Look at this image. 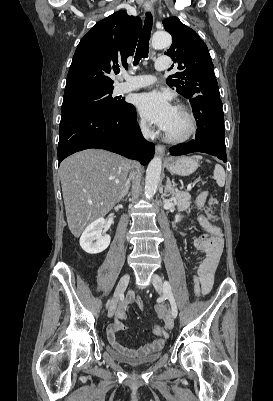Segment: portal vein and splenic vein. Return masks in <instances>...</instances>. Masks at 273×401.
I'll list each match as a JSON object with an SVG mask.
<instances>
[{"label":"portal vein and splenic vein","instance_id":"obj_1","mask_svg":"<svg viewBox=\"0 0 273 401\" xmlns=\"http://www.w3.org/2000/svg\"><path fill=\"white\" fill-rule=\"evenodd\" d=\"M192 186L191 184H189V186H187V190H191Z\"/></svg>","mask_w":273,"mask_h":401}]
</instances>
